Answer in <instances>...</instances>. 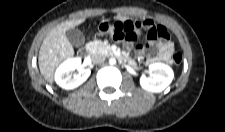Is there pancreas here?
Segmentation results:
<instances>
[{"label": "pancreas", "instance_id": "1", "mask_svg": "<svg viewBox=\"0 0 225 132\" xmlns=\"http://www.w3.org/2000/svg\"><path fill=\"white\" fill-rule=\"evenodd\" d=\"M88 50L93 54H102L104 56L113 55V51L111 50L110 45L101 40L89 42Z\"/></svg>", "mask_w": 225, "mask_h": 132}]
</instances>
